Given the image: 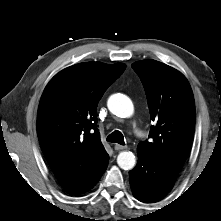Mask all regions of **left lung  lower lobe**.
I'll list each match as a JSON object with an SVG mask.
<instances>
[{"mask_svg":"<svg viewBox=\"0 0 221 221\" xmlns=\"http://www.w3.org/2000/svg\"><path fill=\"white\" fill-rule=\"evenodd\" d=\"M179 171L138 152V163L129 171L132 192L141 202H156L172 189Z\"/></svg>","mask_w":221,"mask_h":221,"instance_id":"0a47b994","label":"left lung lower lobe"}]
</instances>
